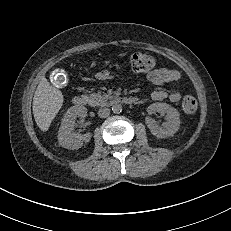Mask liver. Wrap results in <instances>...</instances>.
Instances as JSON below:
<instances>
[{"label":"liver","instance_id":"1","mask_svg":"<svg viewBox=\"0 0 231 231\" xmlns=\"http://www.w3.org/2000/svg\"><path fill=\"white\" fill-rule=\"evenodd\" d=\"M63 105V95L46 78L39 82L33 98V115L42 131H47Z\"/></svg>","mask_w":231,"mask_h":231}]
</instances>
